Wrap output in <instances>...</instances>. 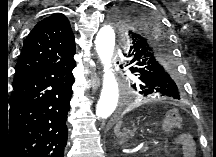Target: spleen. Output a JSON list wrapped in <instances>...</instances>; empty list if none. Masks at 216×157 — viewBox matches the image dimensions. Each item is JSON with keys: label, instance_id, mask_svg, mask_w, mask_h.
<instances>
[{"label": "spleen", "instance_id": "obj_1", "mask_svg": "<svg viewBox=\"0 0 216 157\" xmlns=\"http://www.w3.org/2000/svg\"><path fill=\"white\" fill-rule=\"evenodd\" d=\"M120 128H121V122H119L114 128V132L118 137H121L123 135L120 131Z\"/></svg>", "mask_w": 216, "mask_h": 157}]
</instances>
